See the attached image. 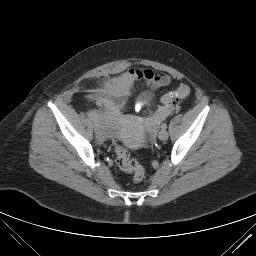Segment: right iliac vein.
<instances>
[{
    "mask_svg": "<svg viewBox=\"0 0 256 256\" xmlns=\"http://www.w3.org/2000/svg\"><path fill=\"white\" fill-rule=\"evenodd\" d=\"M92 125H93L94 127H96V130H97L98 133H101V132H102L101 128L98 126V125H99V122H98L97 120H94V121L92 122Z\"/></svg>",
    "mask_w": 256,
    "mask_h": 256,
    "instance_id": "obj_1",
    "label": "right iliac vein"
}]
</instances>
